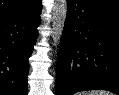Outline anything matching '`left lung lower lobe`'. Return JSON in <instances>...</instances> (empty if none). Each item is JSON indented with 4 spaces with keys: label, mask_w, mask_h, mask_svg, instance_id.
<instances>
[{
    "label": "left lung lower lobe",
    "mask_w": 119,
    "mask_h": 95,
    "mask_svg": "<svg viewBox=\"0 0 119 95\" xmlns=\"http://www.w3.org/2000/svg\"><path fill=\"white\" fill-rule=\"evenodd\" d=\"M103 89L119 95V9L67 0L56 95Z\"/></svg>",
    "instance_id": "0a47b994"
}]
</instances>
